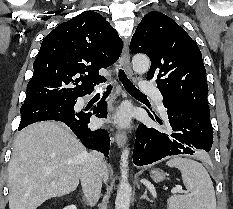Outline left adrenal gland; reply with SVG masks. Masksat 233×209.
I'll list each match as a JSON object with an SVG mask.
<instances>
[{"label":"left adrenal gland","instance_id":"a2214340","mask_svg":"<svg viewBox=\"0 0 233 209\" xmlns=\"http://www.w3.org/2000/svg\"><path fill=\"white\" fill-rule=\"evenodd\" d=\"M141 199H145V200H147V201H151V200L148 198V196H147V189H145L143 195L141 196Z\"/></svg>","mask_w":233,"mask_h":209}]
</instances>
